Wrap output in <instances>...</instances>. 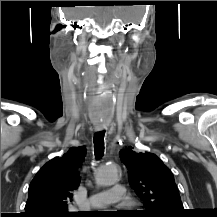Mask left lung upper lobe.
Segmentation results:
<instances>
[{
    "instance_id": "obj_1",
    "label": "left lung upper lobe",
    "mask_w": 217,
    "mask_h": 217,
    "mask_svg": "<svg viewBox=\"0 0 217 217\" xmlns=\"http://www.w3.org/2000/svg\"><path fill=\"white\" fill-rule=\"evenodd\" d=\"M128 169L129 184L146 206L147 217H183L184 208L172 172L152 153L131 146L120 151Z\"/></svg>"
}]
</instances>
